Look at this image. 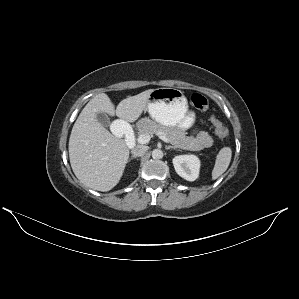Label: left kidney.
I'll list each match as a JSON object with an SVG mask.
<instances>
[{
  "label": "left kidney",
  "instance_id": "obj_1",
  "mask_svg": "<svg viewBox=\"0 0 299 299\" xmlns=\"http://www.w3.org/2000/svg\"><path fill=\"white\" fill-rule=\"evenodd\" d=\"M176 173L187 181H195L199 176L200 160L197 156L178 155L173 158Z\"/></svg>",
  "mask_w": 299,
  "mask_h": 299
}]
</instances>
